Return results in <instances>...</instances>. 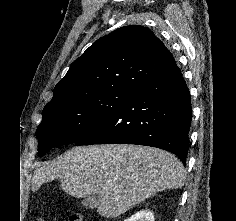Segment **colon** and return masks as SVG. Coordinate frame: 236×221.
I'll return each mask as SVG.
<instances>
[{"mask_svg": "<svg viewBox=\"0 0 236 221\" xmlns=\"http://www.w3.org/2000/svg\"><path fill=\"white\" fill-rule=\"evenodd\" d=\"M36 221H46L45 219L39 218ZM68 221H85L80 215H72Z\"/></svg>", "mask_w": 236, "mask_h": 221, "instance_id": "colon-1", "label": "colon"}]
</instances>
